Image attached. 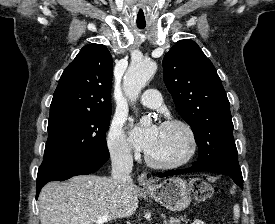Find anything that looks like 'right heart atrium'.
<instances>
[{
    "label": "right heart atrium",
    "instance_id": "obj_1",
    "mask_svg": "<svg viewBox=\"0 0 275 224\" xmlns=\"http://www.w3.org/2000/svg\"><path fill=\"white\" fill-rule=\"evenodd\" d=\"M107 145L111 155L119 159H131L132 149L124 132L123 120L112 121L107 137Z\"/></svg>",
    "mask_w": 275,
    "mask_h": 224
}]
</instances>
